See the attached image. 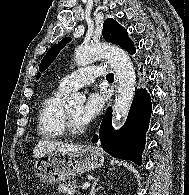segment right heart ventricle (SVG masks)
<instances>
[{
	"label": "right heart ventricle",
	"instance_id": "right-heart-ventricle-1",
	"mask_svg": "<svg viewBox=\"0 0 189 195\" xmlns=\"http://www.w3.org/2000/svg\"><path fill=\"white\" fill-rule=\"evenodd\" d=\"M68 92L58 86L42 100L37 114V133L41 138L58 139L65 134L62 100Z\"/></svg>",
	"mask_w": 189,
	"mask_h": 195
}]
</instances>
